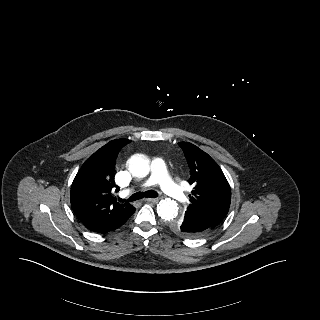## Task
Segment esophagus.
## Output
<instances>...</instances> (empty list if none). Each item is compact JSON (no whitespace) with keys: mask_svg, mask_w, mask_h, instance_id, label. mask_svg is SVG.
I'll list each match as a JSON object with an SVG mask.
<instances>
[{"mask_svg":"<svg viewBox=\"0 0 320 320\" xmlns=\"http://www.w3.org/2000/svg\"><path fill=\"white\" fill-rule=\"evenodd\" d=\"M159 199L158 198H146L145 202H149V203H155L158 202Z\"/></svg>","mask_w":320,"mask_h":320,"instance_id":"obj_1","label":"esophagus"}]
</instances>
